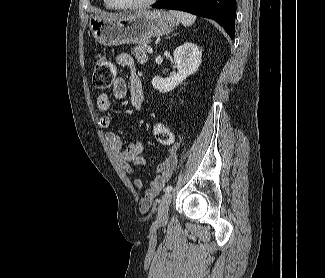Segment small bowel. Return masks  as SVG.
<instances>
[{"mask_svg": "<svg viewBox=\"0 0 325 278\" xmlns=\"http://www.w3.org/2000/svg\"><path fill=\"white\" fill-rule=\"evenodd\" d=\"M116 63L120 67L128 68L130 70V77L128 82L121 76L116 79L112 89L113 96L121 100L126 96L129 90L132 107L136 111H141L144 101V91L142 81L135 71L133 58L129 54L122 53L116 57ZM110 106L111 100L109 94H100L97 98V108L102 113L100 126L104 129L111 126L112 119L108 114ZM105 138L110 149L116 153L128 174L133 175L135 173V166H146V161L140 156L143 151V143L140 140H135L126 147H123L117 133L109 131L106 133ZM168 146L169 151L165 160L159 163L155 168L156 176L150 182V188L147 190L148 197H154L161 191L166 182L171 178L175 169L180 144L173 140ZM134 185L138 190H141L144 186V182L141 178H136L134 180ZM147 203L148 201H145V204Z\"/></svg>", "mask_w": 325, "mask_h": 278, "instance_id": "1", "label": "small bowel"}]
</instances>
